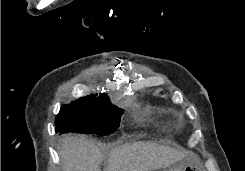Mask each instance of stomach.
Here are the masks:
<instances>
[{"mask_svg": "<svg viewBox=\"0 0 245 171\" xmlns=\"http://www.w3.org/2000/svg\"><path fill=\"white\" fill-rule=\"evenodd\" d=\"M196 165L189 161H182L178 165L169 166L160 171H198Z\"/></svg>", "mask_w": 245, "mask_h": 171, "instance_id": "obj_1", "label": "stomach"}]
</instances>
